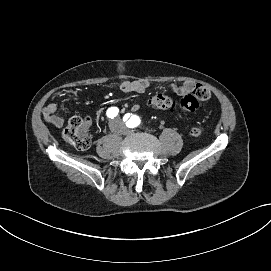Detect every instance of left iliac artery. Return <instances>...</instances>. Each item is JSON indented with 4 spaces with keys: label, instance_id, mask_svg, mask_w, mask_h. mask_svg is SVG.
<instances>
[{
    "label": "left iliac artery",
    "instance_id": "obj_1",
    "mask_svg": "<svg viewBox=\"0 0 271 271\" xmlns=\"http://www.w3.org/2000/svg\"><path fill=\"white\" fill-rule=\"evenodd\" d=\"M124 123L129 127V128H134L139 124V121L137 120V116L133 115H125L124 116Z\"/></svg>",
    "mask_w": 271,
    "mask_h": 271
}]
</instances>
